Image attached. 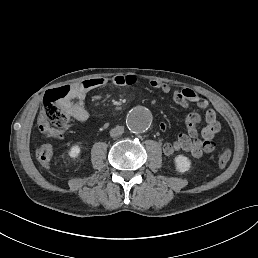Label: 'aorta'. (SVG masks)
<instances>
[{
    "mask_svg": "<svg viewBox=\"0 0 258 258\" xmlns=\"http://www.w3.org/2000/svg\"><path fill=\"white\" fill-rule=\"evenodd\" d=\"M152 123L151 112L144 107L133 109L127 116L126 124L130 132L142 133L149 128Z\"/></svg>",
    "mask_w": 258,
    "mask_h": 258,
    "instance_id": "aorta-1",
    "label": "aorta"
}]
</instances>
